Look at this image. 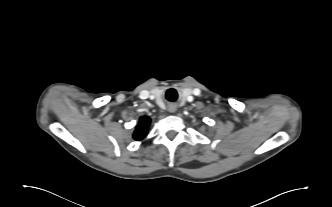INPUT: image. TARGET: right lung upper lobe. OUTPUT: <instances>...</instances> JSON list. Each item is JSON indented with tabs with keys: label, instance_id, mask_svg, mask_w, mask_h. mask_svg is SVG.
Here are the masks:
<instances>
[{
	"label": "right lung upper lobe",
	"instance_id": "obj_1",
	"mask_svg": "<svg viewBox=\"0 0 332 207\" xmlns=\"http://www.w3.org/2000/svg\"><path fill=\"white\" fill-rule=\"evenodd\" d=\"M150 121V118L146 116L140 118L139 125L136 126L133 134L135 140L140 141L146 136Z\"/></svg>",
	"mask_w": 332,
	"mask_h": 207
}]
</instances>
